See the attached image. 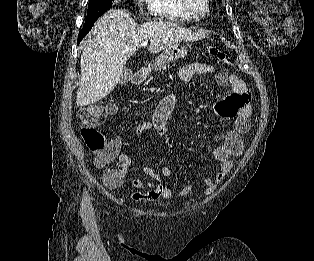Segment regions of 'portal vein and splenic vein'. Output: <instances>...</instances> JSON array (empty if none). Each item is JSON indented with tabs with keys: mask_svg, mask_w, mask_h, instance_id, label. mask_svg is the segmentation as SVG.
<instances>
[{
	"mask_svg": "<svg viewBox=\"0 0 314 261\" xmlns=\"http://www.w3.org/2000/svg\"><path fill=\"white\" fill-rule=\"evenodd\" d=\"M141 46H147V41H143L142 43H141Z\"/></svg>",
	"mask_w": 314,
	"mask_h": 261,
	"instance_id": "portal-vein-and-splenic-vein-1",
	"label": "portal vein and splenic vein"
}]
</instances>
